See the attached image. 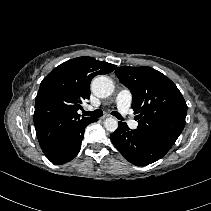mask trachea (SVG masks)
I'll use <instances>...</instances> for the list:
<instances>
[{
	"label": "trachea",
	"instance_id": "obj_1",
	"mask_svg": "<svg viewBox=\"0 0 211 211\" xmlns=\"http://www.w3.org/2000/svg\"><path fill=\"white\" fill-rule=\"evenodd\" d=\"M111 114L113 116H115L117 119L123 120V117L118 112L113 111ZM83 115L90 116V117H93V118H99L103 115V112H102V110H95L93 112L83 111Z\"/></svg>",
	"mask_w": 211,
	"mask_h": 211
}]
</instances>
